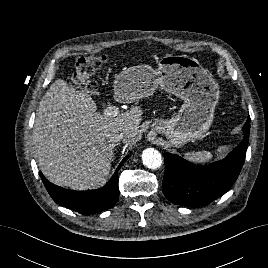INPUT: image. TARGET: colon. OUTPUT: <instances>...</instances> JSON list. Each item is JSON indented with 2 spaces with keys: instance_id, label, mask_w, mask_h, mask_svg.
I'll list each match as a JSON object with an SVG mask.
<instances>
[{
  "instance_id": "colon-1",
  "label": "colon",
  "mask_w": 268,
  "mask_h": 268,
  "mask_svg": "<svg viewBox=\"0 0 268 268\" xmlns=\"http://www.w3.org/2000/svg\"><path fill=\"white\" fill-rule=\"evenodd\" d=\"M105 62L106 57L102 55L80 58L76 63L74 74L68 80V84L84 91H95L97 83L93 80L92 76L105 64Z\"/></svg>"
}]
</instances>
